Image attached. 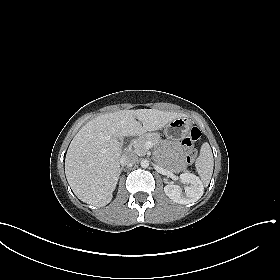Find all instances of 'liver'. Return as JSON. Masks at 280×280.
<instances>
[{
  "mask_svg": "<svg viewBox=\"0 0 280 280\" xmlns=\"http://www.w3.org/2000/svg\"><path fill=\"white\" fill-rule=\"evenodd\" d=\"M182 113L157 109L119 110L85 124L71 141L65 174L74 194L83 202L103 207L110 203L121 172L118 138L156 131Z\"/></svg>",
  "mask_w": 280,
  "mask_h": 280,
  "instance_id": "obj_1",
  "label": "liver"
}]
</instances>
